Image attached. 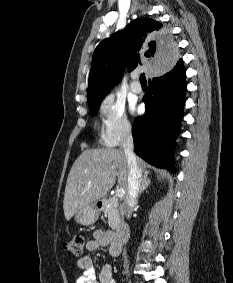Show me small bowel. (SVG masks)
I'll use <instances>...</instances> for the list:
<instances>
[{"label": "small bowel", "mask_w": 233, "mask_h": 283, "mask_svg": "<svg viewBox=\"0 0 233 283\" xmlns=\"http://www.w3.org/2000/svg\"><path fill=\"white\" fill-rule=\"evenodd\" d=\"M104 247L109 248L111 257H116L120 253L114 246V234L111 231L93 230L92 239L87 241L86 249L88 251H96ZM78 267L82 270V274L77 278L75 283H116L109 264L102 267L99 273V279L97 280L93 260L90 256L85 255L80 257Z\"/></svg>", "instance_id": "obj_1"}]
</instances>
